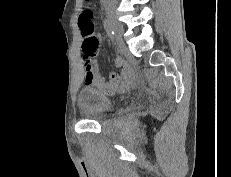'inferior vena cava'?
<instances>
[{
	"instance_id": "inferior-vena-cava-1",
	"label": "inferior vena cava",
	"mask_w": 231,
	"mask_h": 177,
	"mask_svg": "<svg viewBox=\"0 0 231 177\" xmlns=\"http://www.w3.org/2000/svg\"><path fill=\"white\" fill-rule=\"evenodd\" d=\"M105 2H115L116 0H104Z\"/></svg>"
}]
</instances>
